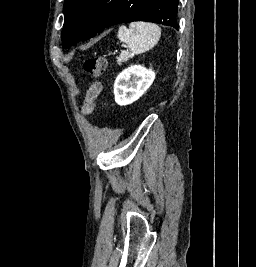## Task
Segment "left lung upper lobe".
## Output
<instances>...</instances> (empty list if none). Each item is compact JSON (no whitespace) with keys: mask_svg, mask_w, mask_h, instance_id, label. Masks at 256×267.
Masks as SVG:
<instances>
[{"mask_svg":"<svg viewBox=\"0 0 256 267\" xmlns=\"http://www.w3.org/2000/svg\"><path fill=\"white\" fill-rule=\"evenodd\" d=\"M64 15V48L120 22L148 21L178 29L175 0H65Z\"/></svg>","mask_w":256,"mask_h":267,"instance_id":"obj_1","label":"left lung upper lobe"}]
</instances>
